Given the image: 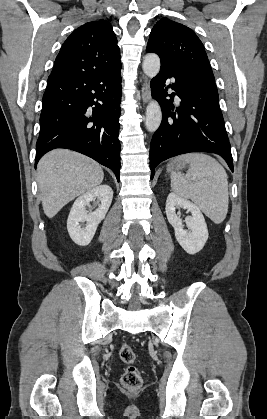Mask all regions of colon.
Wrapping results in <instances>:
<instances>
[{
	"label": "colon",
	"instance_id": "1",
	"mask_svg": "<svg viewBox=\"0 0 267 419\" xmlns=\"http://www.w3.org/2000/svg\"><path fill=\"white\" fill-rule=\"evenodd\" d=\"M119 357L123 363L128 365L121 377L123 386L130 390L140 388L143 379L139 369L133 365L136 355L132 347L127 343L121 344L119 347Z\"/></svg>",
	"mask_w": 267,
	"mask_h": 419
}]
</instances>
